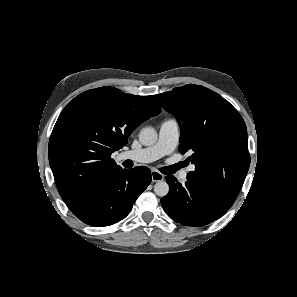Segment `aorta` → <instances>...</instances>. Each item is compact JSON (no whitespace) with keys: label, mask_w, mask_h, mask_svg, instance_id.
I'll return each instance as SVG.
<instances>
[{"label":"aorta","mask_w":297,"mask_h":297,"mask_svg":"<svg viewBox=\"0 0 297 297\" xmlns=\"http://www.w3.org/2000/svg\"><path fill=\"white\" fill-rule=\"evenodd\" d=\"M139 140L144 146H151L157 141V132L154 128H143L139 133ZM154 192L159 197H164L169 192V185L166 181L160 180L154 185Z\"/></svg>","instance_id":"1"}]
</instances>
